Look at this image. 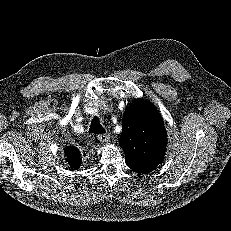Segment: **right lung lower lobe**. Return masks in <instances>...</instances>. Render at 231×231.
Returning <instances> with one entry per match:
<instances>
[{"mask_svg": "<svg viewBox=\"0 0 231 231\" xmlns=\"http://www.w3.org/2000/svg\"><path fill=\"white\" fill-rule=\"evenodd\" d=\"M66 151H68L69 153H72V154H74V155H76V156H79V155H80V152H79L78 149L75 148V147H68V148L66 149ZM66 151H65V152H66Z\"/></svg>", "mask_w": 231, "mask_h": 231, "instance_id": "obj_1", "label": "right lung lower lobe"}]
</instances>
